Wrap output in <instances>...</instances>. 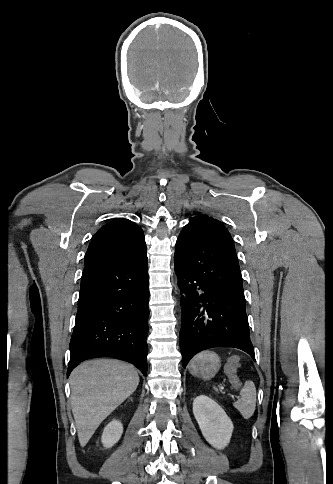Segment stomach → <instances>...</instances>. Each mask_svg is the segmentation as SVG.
<instances>
[{
    "label": "stomach",
    "mask_w": 333,
    "mask_h": 484,
    "mask_svg": "<svg viewBox=\"0 0 333 484\" xmlns=\"http://www.w3.org/2000/svg\"><path fill=\"white\" fill-rule=\"evenodd\" d=\"M221 367L220 358L211 351H203L198 354L189 364L192 375L210 380Z\"/></svg>",
    "instance_id": "1"
}]
</instances>
